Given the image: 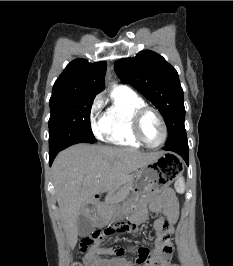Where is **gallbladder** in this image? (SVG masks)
<instances>
[{"instance_id": "gallbladder-1", "label": "gallbladder", "mask_w": 233, "mask_h": 266, "mask_svg": "<svg viewBox=\"0 0 233 266\" xmlns=\"http://www.w3.org/2000/svg\"><path fill=\"white\" fill-rule=\"evenodd\" d=\"M78 235L85 237L93 231V223L91 219L84 213L80 212L77 220Z\"/></svg>"}]
</instances>
